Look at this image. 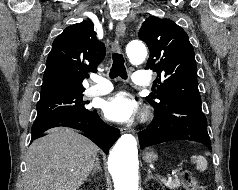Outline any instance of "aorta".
<instances>
[{"label":"aorta","mask_w":238,"mask_h":190,"mask_svg":"<svg viewBox=\"0 0 238 190\" xmlns=\"http://www.w3.org/2000/svg\"><path fill=\"white\" fill-rule=\"evenodd\" d=\"M126 51L133 64L142 63L147 56V49L139 40L129 42ZM108 167L115 190H138V150L133 135L124 134L118 139L110 152Z\"/></svg>","instance_id":"1"}]
</instances>
